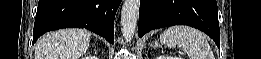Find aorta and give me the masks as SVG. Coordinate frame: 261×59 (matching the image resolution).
I'll list each match as a JSON object with an SVG mask.
<instances>
[{"label":"aorta","instance_id":"obj_1","mask_svg":"<svg viewBox=\"0 0 261 59\" xmlns=\"http://www.w3.org/2000/svg\"><path fill=\"white\" fill-rule=\"evenodd\" d=\"M140 0H124L121 10V32L126 41H130L134 36L138 17Z\"/></svg>","mask_w":261,"mask_h":59}]
</instances>
